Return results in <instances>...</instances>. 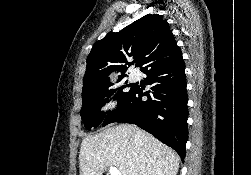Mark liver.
<instances>
[{
    "mask_svg": "<svg viewBox=\"0 0 251 175\" xmlns=\"http://www.w3.org/2000/svg\"><path fill=\"white\" fill-rule=\"evenodd\" d=\"M79 167L80 175H102L109 167L122 175H176L179 157L150 133L121 123L82 139Z\"/></svg>",
    "mask_w": 251,
    "mask_h": 175,
    "instance_id": "1",
    "label": "liver"
}]
</instances>
